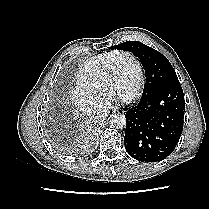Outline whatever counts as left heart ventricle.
I'll use <instances>...</instances> for the list:
<instances>
[{"label":"left heart ventricle","instance_id":"1","mask_svg":"<svg viewBox=\"0 0 209 209\" xmlns=\"http://www.w3.org/2000/svg\"><path fill=\"white\" fill-rule=\"evenodd\" d=\"M137 70L128 57L116 59L108 86V97L116 100L127 98L136 83Z\"/></svg>","mask_w":209,"mask_h":209}]
</instances>
